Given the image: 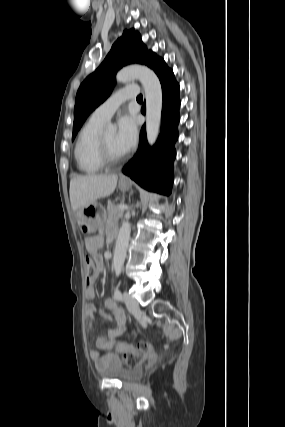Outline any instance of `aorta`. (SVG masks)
Returning a JSON list of instances; mask_svg holds the SVG:
<instances>
[{
  "instance_id": "aorta-1",
  "label": "aorta",
  "mask_w": 285,
  "mask_h": 427,
  "mask_svg": "<svg viewBox=\"0 0 285 427\" xmlns=\"http://www.w3.org/2000/svg\"><path fill=\"white\" fill-rule=\"evenodd\" d=\"M139 79L142 83L146 99V134L150 145L157 139L162 111V88L157 75L148 67L131 65L120 70L116 75V81L127 83ZM107 130L116 131L113 124L107 125ZM131 234V224L123 222L114 249L112 266L115 270H121L125 261L128 243Z\"/></svg>"
}]
</instances>
